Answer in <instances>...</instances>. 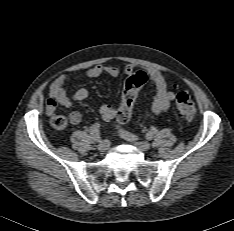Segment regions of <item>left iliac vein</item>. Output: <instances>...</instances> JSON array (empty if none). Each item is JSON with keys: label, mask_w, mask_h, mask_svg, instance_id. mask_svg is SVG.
<instances>
[{"label": "left iliac vein", "mask_w": 234, "mask_h": 231, "mask_svg": "<svg viewBox=\"0 0 234 231\" xmlns=\"http://www.w3.org/2000/svg\"><path fill=\"white\" fill-rule=\"evenodd\" d=\"M136 139L132 140L135 141ZM135 145L142 151H148L150 149V144L146 141H137Z\"/></svg>", "instance_id": "obj_1"}]
</instances>
